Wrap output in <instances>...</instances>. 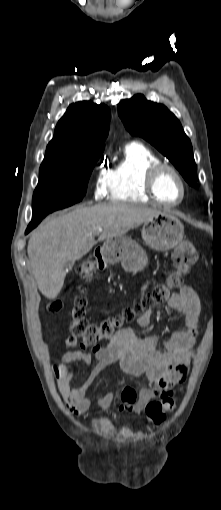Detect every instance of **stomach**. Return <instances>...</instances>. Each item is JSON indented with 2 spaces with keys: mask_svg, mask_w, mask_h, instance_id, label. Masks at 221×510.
I'll return each mask as SVG.
<instances>
[{
  "mask_svg": "<svg viewBox=\"0 0 221 510\" xmlns=\"http://www.w3.org/2000/svg\"><path fill=\"white\" fill-rule=\"evenodd\" d=\"M142 238L145 243L157 251H168L178 245L184 236V226L180 220L170 213H160L143 224ZM104 252L111 262H121L126 272L142 271L148 257L140 245L125 236L108 239Z\"/></svg>",
  "mask_w": 221,
  "mask_h": 510,
  "instance_id": "0dacf381",
  "label": "stomach"
}]
</instances>
